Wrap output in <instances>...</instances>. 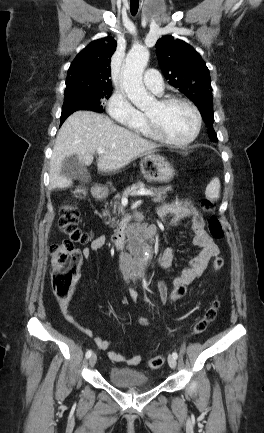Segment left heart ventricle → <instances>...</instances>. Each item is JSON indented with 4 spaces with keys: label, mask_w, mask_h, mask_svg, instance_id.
<instances>
[{
    "label": "left heart ventricle",
    "mask_w": 264,
    "mask_h": 433,
    "mask_svg": "<svg viewBox=\"0 0 264 433\" xmlns=\"http://www.w3.org/2000/svg\"><path fill=\"white\" fill-rule=\"evenodd\" d=\"M145 113L152 116L163 132L173 140L187 139L195 129V117L192 111L183 104H172L160 107L157 102L150 105Z\"/></svg>",
    "instance_id": "1"
}]
</instances>
